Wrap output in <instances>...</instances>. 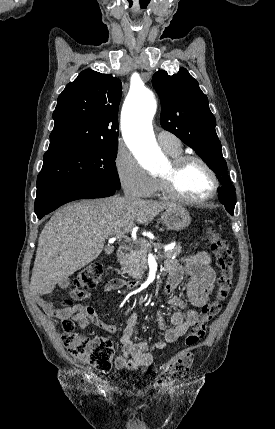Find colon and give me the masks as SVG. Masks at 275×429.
Masks as SVG:
<instances>
[{"label":"colon","instance_id":"obj_1","mask_svg":"<svg viewBox=\"0 0 275 429\" xmlns=\"http://www.w3.org/2000/svg\"><path fill=\"white\" fill-rule=\"evenodd\" d=\"M210 248L216 257L220 269L218 278V293L215 301L202 307L200 319L191 331L185 336L186 348L176 354L162 369L160 381L169 383L184 377L194 362L191 348L198 344L205 336L207 325L221 311L222 303L227 298L233 285L234 257L225 238L213 227L208 228ZM105 268L100 263H92L83 267L76 275L69 287V293L82 288L96 287L104 275ZM65 303H69L68 300ZM62 341L78 362L87 364L100 372H107L111 368L114 356V347L106 336L90 338L75 331L73 322H63Z\"/></svg>","mask_w":275,"mask_h":429}]
</instances>
